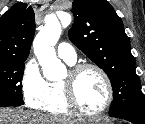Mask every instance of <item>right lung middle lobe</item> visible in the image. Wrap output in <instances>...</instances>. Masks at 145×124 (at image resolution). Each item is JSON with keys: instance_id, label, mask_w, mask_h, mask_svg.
I'll return each mask as SVG.
<instances>
[{"instance_id": "right-lung-middle-lobe-1", "label": "right lung middle lobe", "mask_w": 145, "mask_h": 124, "mask_svg": "<svg viewBox=\"0 0 145 124\" xmlns=\"http://www.w3.org/2000/svg\"><path fill=\"white\" fill-rule=\"evenodd\" d=\"M25 60H0V101H23L21 80Z\"/></svg>"}]
</instances>
